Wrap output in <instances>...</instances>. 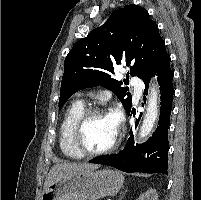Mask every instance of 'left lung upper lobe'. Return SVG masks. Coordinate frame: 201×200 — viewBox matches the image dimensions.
Listing matches in <instances>:
<instances>
[{"instance_id": "1", "label": "left lung upper lobe", "mask_w": 201, "mask_h": 200, "mask_svg": "<svg viewBox=\"0 0 201 200\" xmlns=\"http://www.w3.org/2000/svg\"><path fill=\"white\" fill-rule=\"evenodd\" d=\"M164 53L165 43L147 10L132 4L114 11L66 56L59 108L75 92L100 85L113 91L129 112L132 97L122 82L111 78L114 66L126 63L131 76L142 79Z\"/></svg>"}]
</instances>
